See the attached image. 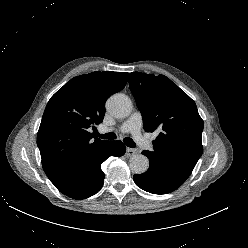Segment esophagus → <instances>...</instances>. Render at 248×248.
I'll list each match as a JSON object with an SVG mask.
<instances>
[{"instance_id":"34e87169","label":"esophagus","mask_w":248,"mask_h":248,"mask_svg":"<svg viewBox=\"0 0 248 248\" xmlns=\"http://www.w3.org/2000/svg\"><path fill=\"white\" fill-rule=\"evenodd\" d=\"M136 153H137V150L136 149L127 148V150H126V155L127 156H132V155H134Z\"/></svg>"}]
</instances>
